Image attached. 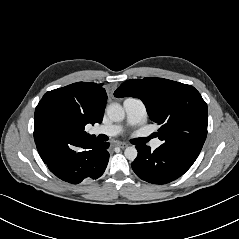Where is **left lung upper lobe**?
Returning a JSON list of instances; mask_svg holds the SVG:
<instances>
[{
  "mask_svg": "<svg viewBox=\"0 0 239 239\" xmlns=\"http://www.w3.org/2000/svg\"><path fill=\"white\" fill-rule=\"evenodd\" d=\"M115 97L143 101L150 119L161 125L158 138L194 155H199L207 136V104L191 85L163 78L125 81Z\"/></svg>",
  "mask_w": 239,
  "mask_h": 239,
  "instance_id": "left-lung-upper-lobe-1",
  "label": "left lung upper lobe"
}]
</instances>
